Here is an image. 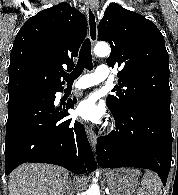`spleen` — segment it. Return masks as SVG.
<instances>
[{
	"mask_svg": "<svg viewBox=\"0 0 178 195\" xmlns=\"http://www.w3.org/2000/svg\"><path fill=\"white\" fill-rule=\"evenodd\" d=\"M135 176L141 175L140 170H130ZM142 188L146 190L147 195H161L162 194V183L160 178L153 172H146L141 181Z\"/></svg>",
	"mask_w": 178,
	"mask_h": 195,
	"instance_id": "obj_1",
	"label": "spleen"
}]
</instances>
